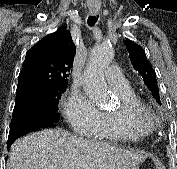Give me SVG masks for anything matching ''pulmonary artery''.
<instances>
[{
  "label": "pulmonary artery",
  "mask_w": 177,
  "mask_h": 169,
  "mask_svg": "<svg viewBox=\"0 0 177 169\" xmlns=\"http://www.w3.org/2000/svg\"><path fill=\"white\" fill-rule=\"evenodd\" d=\"M106 79L113 89V91H123L130 87L129 81L121 72V69L117 65H112L107 69Z\"/></svg>",
  "instance_id": "1"
}]
</instances>
